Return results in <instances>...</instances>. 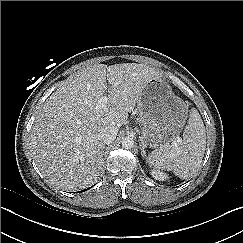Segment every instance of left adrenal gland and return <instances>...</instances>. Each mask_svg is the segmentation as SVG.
I'll return each mask as SVG.
<instances>
[{
  "label": "left adrenal gland",
  "instance_id": "1",
  "mask_svg": "<svg viewBox=\"0 0 243 243\" xmlns=\"http://www.w3.org/2000/svg\"><path fill=\"white\" fill-rule=\"evenodd\" d=\"M141 155L143 158H146V152L144 145H140Z\"/></svg>",
  "mask_w": 243,
  "mask_h": 243
}]
</instances>
